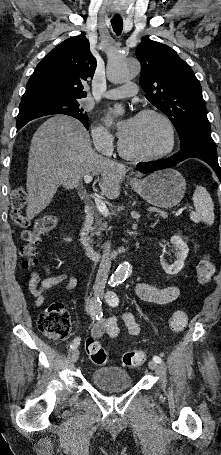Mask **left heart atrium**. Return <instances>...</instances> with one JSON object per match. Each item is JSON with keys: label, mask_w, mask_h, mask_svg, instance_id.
I'll list each match as a JSON object with an SVG mask.
<instances>
[{"label": "left heart atrium", "mask_w": 221, "mask_h": 455, "mask_svg": "<svg viewBox=\"0 0 221 455\" xmlns=\"http://www.w3.org/2000/svg\"><path fill=\"white\" fill-rule=\"evenodd\" d=\"M107 120H111V114L106 115ZM134 118H127L117 123L118 135L119 137H125L133 125Z\"/></svg>", "instance_id": "left-heart-atrium-1"}]
</instances>
